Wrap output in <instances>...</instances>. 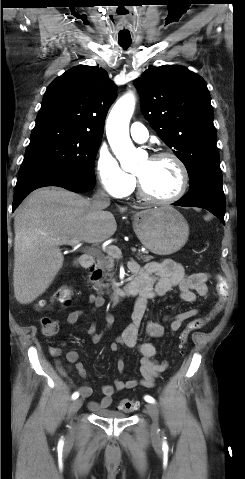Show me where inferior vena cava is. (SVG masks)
Here are the masks:
<instances>
[{
  "mask_svg": "<svg viewBox=\"0 0 245 479\" xmlns=\"http://www.w3.org/2000/svg\"><path fill=\"white\" fill-rule=\"evenodd\" d=\"M94 201H95L96 204H98L102 207H106L110 204V199H109L108 194L102 189H99L97 191V193L95 194V197H94Z\"/></svg>",
  "mask_w": 245,
  "mask_h": 479,
  "instance_id": "obj_1",
  "label": "inferior vena cava"
}]
</instances>
